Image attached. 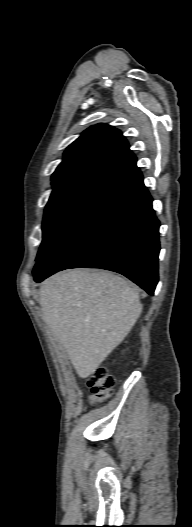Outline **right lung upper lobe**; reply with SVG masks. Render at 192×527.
<instances>
[{"label":"right lung upper lobe","instance_id":"right-lung-upper-lobe-1","mask_svg":"<svg viewBox=\"0 0 192 527\" xmlns=\"http://www.w3.org/2000/svg\"><path fill=\"white\" fill-rule=\"evenodd\" d=\"M136 160L120 130L97 124L85 130L64 152L52 175L53 187L85 179L110 181Z\"/></svg>","mask_w":192,"mask_h":527}]
</instances>
